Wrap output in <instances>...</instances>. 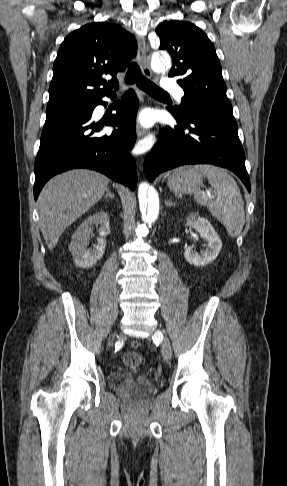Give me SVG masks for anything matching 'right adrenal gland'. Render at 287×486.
I'll return each mask as SVG.
<instances>
[{"label":"right adrenal gland","mask_w":287,"mask_h":486,"mask_svg":"<svg viewBox=\"0 0 287 486\" xmlns=\"http://www.w3.org/2000/svg\"><path fill=\"white\" fill-rule=\"evenodd\" d=\"M108 197L113 198V199L115 198L114 194L111 192L109 187H107V189H106V195L104 196V199H107Z\"/></svg>","instance_id":"1"}]
</instances>
